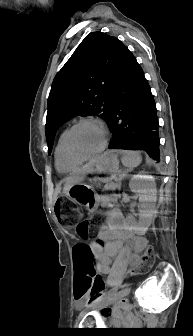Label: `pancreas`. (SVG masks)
<instances>
[{
  "label": "pancreas",
  "mask_w": 193,
  "mask_h": 336,
  "mask_svg": "<svg viewBox=\"0 0 193 336\" xmlns=\"http://www.w3.org/2000/svg\"><path fill=\"white\" fill-rule=\"evenodd\" d=\"M119 185H121L120 178L116 179L115 182H109L108 184H106V186L102 190V193L104 194V196L102 197V205L103 206H108L111 203H116L117 198L116 197H111V194L116 189V187L119 186ZM108 209L113 210V209H115V206L110 205V206H108Z\"/></svg>",
  "instance_id": "obj_1"
}]
</instances>
